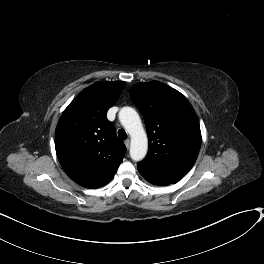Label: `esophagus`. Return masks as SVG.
I'll use <instances>...</instances> for the list:
<instances>
[{
    "label": "esophagus",
    "instance_id": "obj_1",
    "mask_svg": "<svg viewBox=\"0 0 264 264\" xmlns=\"http://www.w3.org/2000/svg\"><path fill=\"white\" fill-rule=\"evenodd\" d=\"M125 145H126L127 148L130 147V140H129V139H127V140L125 141Z\"/></svg>",
    "mask_w": 264,
    "mask_h": 264
}]
</instances>
